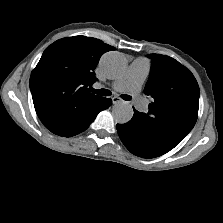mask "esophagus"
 <instances>
[{"instance_id": "34e87169", "label": "esophagus", "mask_w": 223, "mask_h": 223, "mask_svg": "<svg viewBox=\"0 0 223 223\" xmlns=\"http://www.w3.org/2000/svg\"><path fill=\"white\" fill-rule=\"evenodd\" d=\"M121 101H122V99L119 98V97H117V96H115V97L112 98V103H113V104H117V103H119V102H121Z\"/></svg>"}]
</instances>
